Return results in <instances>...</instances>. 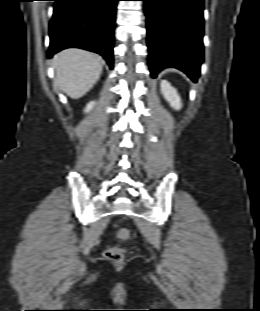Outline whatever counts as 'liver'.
<instances>
[{
  "instance_id": "obj_1",
  "label": "liver",
  "mask_w": 260,
  "mask_h": 311,
  "mask_svg": "<svg viewBox=\"0 0 260 311\" xmlns=\"http://www.w3.org/2000/svg\"><path fill=\"white\" fill-rule=\"evenodd\" d=\"M56 72L55 84L73 99L85 95L102 73L100 57L82 49H66L52 60Z\"/></svg>"
}]
</instances>
